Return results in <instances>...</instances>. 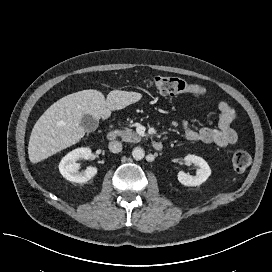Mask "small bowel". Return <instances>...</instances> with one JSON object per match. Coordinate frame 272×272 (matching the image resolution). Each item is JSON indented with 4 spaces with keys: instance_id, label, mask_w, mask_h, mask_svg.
Wrapping results in <instances>:
<instances>
[{
    "instance_id": "small-bowel-1",
    "label": "small bowel",
    "mask_w": 272,
    "mask_h": 272,
    "mask_svg": "<svg viewBox=\"0 0 272 272\" xmlns=\"http://www.w3.org/2000/svg\"><path fill=\"white\" fill-rule=\"evenodd\" d=\"M218 108L220 116L216 128L202 127L201 129H194L187 120H181L180 126L184 131L186 139L214 144L219 147L235 144L238 140V135L231 125L236 119L237 113L233 107L224 101L218 103Z\"/></svg>"
}]
</instances>
